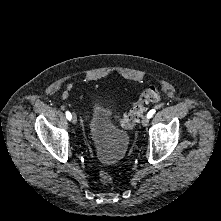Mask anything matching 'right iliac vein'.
I'll return each mask as SVG.
<instances>
[{
	"label": "right iliac vein",
	"mask_w": 221,
	"mask_h": 221,
	"mask_svg": "<svg viewBox=\"0 0 221 221\" xmlns=\"http://www.w3.org/2000/svg\"><path fill=\"white\" fill-rule=\"evenodd\" d=\"M71 120L73 123L77 122V116L75 114L72 115Z\"/></svg>",
	"instance_id": "1"
}]
</instances>
